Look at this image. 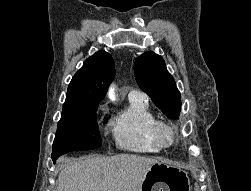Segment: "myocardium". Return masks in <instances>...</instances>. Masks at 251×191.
Wrapping results in <instances>:
<instances>
[{"label":"myocardium","mask_w":251,"mask_h":191,"mask_svg":"<svg viewBox=\"0 0 251 191\" xmlns=\"http://www.w3.org/2000/svg\"><path fill=\"white\" fill-rule=\"evenodd\" d=\"M163 128L170 129L177 136L175 143L171 147L164 146L160 140V132ZM150 137L152 143L155 145L159 152H168L175 149L178 143L181 142L184 138L182 132L172 122L157 117L151 123Z\"/></svg>","instance_id":"1"}]
</instances>
